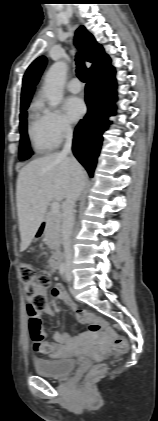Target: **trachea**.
<instances>
[{"mask_svg":"<svg viewBox=\"0 0 158 421\" xmlns=\"http://www.w3.org/2000/svg\"><path fill=\"white\" fill-rule=\"evenodd\" d=\"M76 73L82 82H86L88 71L84 64V60L80 57V55L76 56Z\"/></svg>","mask_w":158,"mask_h":421,"instance_id":"obj_1","label":"trachea"}]
</instances>
